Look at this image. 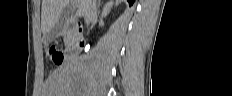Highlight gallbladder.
<instances>
[{
  "label": "gallbladder",
  "instance_id": "bac80fb5",
  "mask_svg": "<svg viewBox=\"0 0 232 96\" xmlns=\"http://www.w3.org/2000/svg\"><path fill=\"white\" fill-rule=\"evenodd\" d=\"M71 7L66 6L59 19L57 20L56 24L52 27V29L47 32L44 36H43V42L45 44L50 43L52 40H54L55 38H57L63 31L64 27L67 24V21L71 15Z\"/></svg>",
  "mask_w": 232,
  "mask_h": 96
}]
</instances>
